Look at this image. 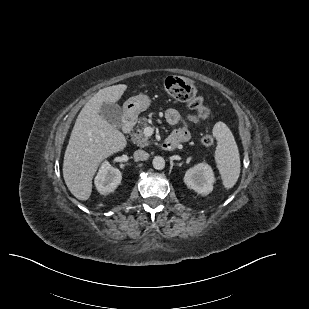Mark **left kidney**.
I'll list each match as a JSON object with an SVG mask.
<instances>
[{"label":"left kidney","mask_w":309,"mask_h":309,"mask_svg":"<svg viewBox=\"0 0 309 309\" xmlns=\"http://www.w3.org/2000/svg\"><path fill=\"white\" fill-rule=\"evenodd\" d=\"M184 182L188 188L199 194H209L213 190L215 177L208 164L199 163L186 171Z\"/></svg>","instance_id":"obj_1"}]
</instances>
